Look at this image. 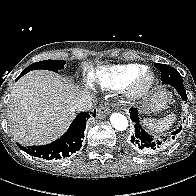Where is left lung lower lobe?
I'll list each match as a JSON object with an SVG mask.
<instances>
[{
	"label": "left lung lower lobe",
	"mask_w": 196,
	"mask_h": 196,
	"mask_svg": "<svg viewBox=\"0 0 196 196\" xmlns=\"http://www.w3.org/2000/svg\"><path fill=\"white\" fill-rule=\"evenodd\" d=\"M161 71V79L163 84H170L177 92L180 94L182 100L187 103V95L183 86V81L180 79L178 72L171 66L162 65L159 66ZM130 117L133 122H135V133L131 136V139L127 143V147L134 152L141 155L155 154L161 151L172 139H175V135L178 134L182 126H180L176 131L168 137H160L159 139H154L145 130L142 129L140 121L138 118V110L136 108L129 109Z\"/></svg>",
	"instance_id": "0a47b994"
}]
</instances>
